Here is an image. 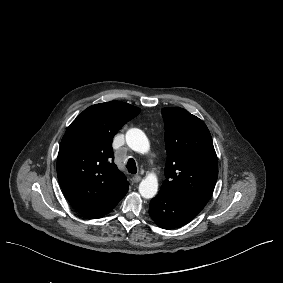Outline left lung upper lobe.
I'll return each mask as SVG.
<instances>
[{
	"label": "left lung upper lobe",
	"instance_id": "obj_1",
	"mask_svg": "<svg viewBox=\"0 0 283 283\" xmlns=\"http://www.w3.org/2000/svg\"><path fill=\"white\" fill-rule=\"evenodd\" d=\"M167 160L160 192L206 205L218 177L210 132L182 108H163Z\"/></svg>",
	"mask_w": 283,
	"mask_h": 283
}]
</instances>
